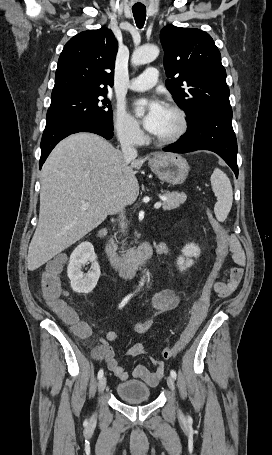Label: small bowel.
Masks as SVG:
<instances>
[{
  "mask_svg": "<svg viewBox=\"0 0 272 455\" xmlns=\"http://www.w3.org/2000/svg\"><path fill=\"white\" fill-rule=\"evenodd\" d=\"M158 251L161 254L169 253V249L164 244L159 245ZM229 251L235 266L230 268L229 277L225 281H216L213 286V291L221 298L230 296L238 287L242 276L243 268L246 263V256L243 248L236 236L232 235L229 238ZM180 301L178 292L165 289L154 294L150 300V306L159 311H169L174 309ZM150 324V320H145L136 329V333L143 332ZM118 336L115 332L107 334V340L115 343ZM130 356L144 355L145 350L141 343H135L129 350ZM96 356L104 360L107 368L121 381H126L129 378L128 373L118 364L115 351L112 347L103 344L96 351ZM155 369L150 371L143 365H137L133 370V376L149 385H156L164 376V366L162 363L153 361Z\"/></svg>",
  "mask_w": 272,
  "mask_h": 455,
  "instance_id": "obj_1",
  "label": "small bowel"
}]
</instances>
